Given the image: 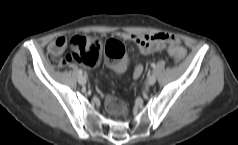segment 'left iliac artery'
<instances>
[{
    "mask_svg": "<svg viewBox=\"0 0 238 145\" xmlns=\"http://www.w3.org/2000/svg\"><path fill=\"white\" fill-rule=\"evenodd\" d=\"M155 66H156V65H155L154 63L151 64V67H152V68H155Z\"/></svg>",
    "mask_w": 238,
    "mask_h": 145,
    "instance_id": "1",
    "label": "left iliac artery"
}]
</instances>
